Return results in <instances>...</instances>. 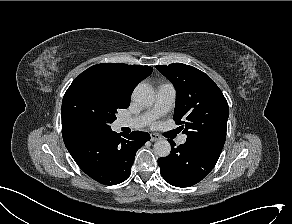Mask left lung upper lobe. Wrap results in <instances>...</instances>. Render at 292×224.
<instances>
[{"mask_svg": "<svg viewBox=\"0 0 292 224\" xmlns=\"http://www.w3.org/2000/svg\"><path fill=\"white\" fill-rule=\"evenodd\" d=\"M156 68L176 89L173 119L187 135L186 142L220 155L229 108L219 87L207 74L189 65L173 63Z\"/></svg>", "mask_w": 292, "mask_h": 224, "instance_id": "1", "label": "left lung upper lobe"}]
</instances>
